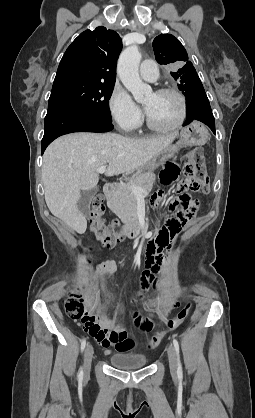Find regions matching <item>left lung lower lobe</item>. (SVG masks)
<instances>
[{"mask_svg": "<svg viewBox=\"0 0 255 418\" xmlns=\"http://www.w3.org/2000/svg\"><path fill=\"white\" fill-rule=\"evenodd\" d=\"M186 115L187 118L183 126L193 120H198L206 124L215 134V120L205 91L187 96Z\"/></svg>", "mask_w": 255, "mask_h": 418, "instance_id": "1", "label": "left lung lower lobe"}]
</instances>
